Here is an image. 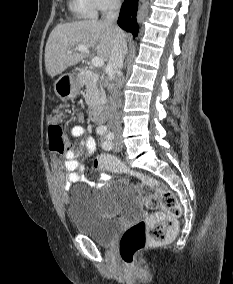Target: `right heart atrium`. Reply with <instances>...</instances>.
<instances>
[{
	"instance_id": "d8ad5b80",
	"label": "right heart atrium",
	"mask_w": 233,
	"mask_h": 284,
	"mask_svg": "<svg viewBox=\"0 0 233 284\" xmlns=\"http://www.w3.org/2000/svg\"><path fill=\"white\" fill-rule=\"evenodd\" d=\"M96 10L106 12L117 8L120 5V0H92Z\"/></svg>"
}]
</instances>
